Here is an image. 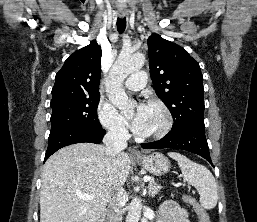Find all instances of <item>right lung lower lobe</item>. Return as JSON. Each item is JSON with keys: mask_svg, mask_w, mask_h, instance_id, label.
I'll use <instances>...</instances> for the list:
<instances>
[{"mask_svg": "<svg viewBox=\"0 0 257 222\" xmlns=\"http://www.w3.org/2000/svg\"><path fill=\"white\" fill-rule=\"evenodd\" d=\"M104 129L89 130V129H65L60 132L49 135L48 148L45 154L46 161L54 152L58 149L65 147L67 145L90 142L99 144L103 136L105 135Z\"/></svg>", "mask_w": 257, "mask_h": 222, "instance_id": "right-lung-lower-lobe-1", "label": "right lung lower lobe"}]
</instances>
